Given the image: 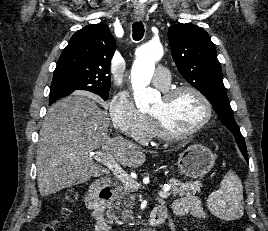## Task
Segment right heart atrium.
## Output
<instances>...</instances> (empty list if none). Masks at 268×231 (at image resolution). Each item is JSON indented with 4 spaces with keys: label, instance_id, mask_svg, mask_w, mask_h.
I'll use <instances>...</instances> for the list:
<instances>
[{
    "label": "right heart atrium",
    "instance_id": "1",
    "mask_svg": "<svg viewBox=\"0 0 268 231\" xmlns=\"http://www.w3.org/2000/svg\"><path fill=\"white\" fill-rule=\"evenodd\" d=\"M108 112L116 131L145 144L151 140V120L143 114L127 91H119L110 100Z\"/></svg>",
    "mask_w": 268,
    "mask_h": 231
}]
</instances>
